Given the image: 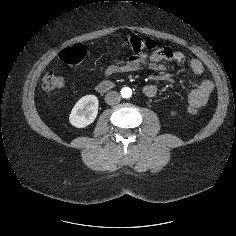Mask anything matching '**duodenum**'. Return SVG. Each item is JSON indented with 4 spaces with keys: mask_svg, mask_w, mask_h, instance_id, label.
Wrapping results in <instances>:
<instances>
[{
    "mask_svg": "<svg viewBox=\"0 0 236 236\" xmlns=\"http://www.w3.org/2000/svg\"><path fill=\"white\" fill-rule=\"evenodd\" d=\"M114 86H115V84L112 81H102V82L97 84L96 89L99 92L104 93V92H108L111 89H113Z\"/></svg>",
    "mask_w": 236,
    "mask_h": 236,
    "instance_id": "obj_1",
    "label": "duodenum"
}]
</instances>
